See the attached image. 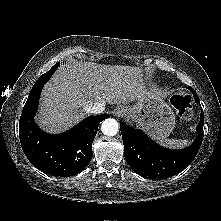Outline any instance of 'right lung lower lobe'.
Instances as JSON below:
<instances>
[{"label":"right lung lower lobe","mask_w":221,"mask_h":221,"mask_svg":"<svg viewBox=\"0 0 221 221\" xmlns=\"http://www.w3.org/2000/svg\"><path fill=\"white\" fill-rule=\"evenodd\" d=\"M47 82V81H46ZM46 82L31 89L19 121V138L28 160L39 170L55 176H70L83 170L92 157V142L99 123L108 118L101 114L84 119L71 130L51 135L34 122L41 90Z\"/></svg>","instance_id":"1"}]
</instances>
